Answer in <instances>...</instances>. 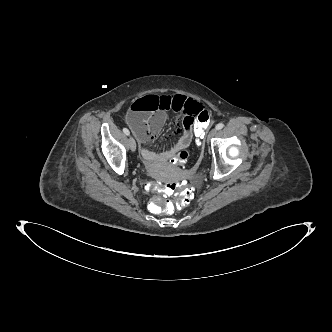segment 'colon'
<instances>
[{
    "mask_svg": "<svg viewBox=\"0 0 332 332\" xmlns=\"http://www.w3.org/2000/svg\"><path fill=\"white\" fill-rule=\"evenodd\" d=\"M209 113L207 111H202L198 114L196 121L194 123V128L192 130L193 144L198 149L196 153L191 156V153L188 150H181L178 155H172L169 158V165L172 168H192L197 169L200 166V163L208 155V150L204 147L206 144V132L205 130L208 127L209 122ZM145 191L152 192L155 194H160L161 196L167 197L173 194L176 191H179V199L174 203L165 202L163 203L160 199H154L152 201V206L159 213H172L175 208H184L186 207L192 196L193 189L187 180H175L165 185L158 183H146Z\"/></svg>",
    "mask_w": 332,
    "mask_h": 332,
    "instance_id": "1",
    "label": "colon"
}]
</instances>
